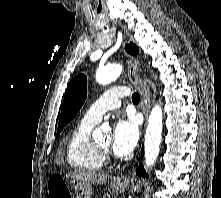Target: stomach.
Returning <instances> with one entry per match:
<instances>
[{
	"label": "stomach",
	"instance_id": "obj_1",
	"mask_svg": "<svg viewBox=\"0 0 221 198\" xmlns=\"http://www.w3.org/2000/svg\"><path fill=\"white\" fill-rule=\"evenodd\" d=\"M128 186V181H122L118 183H111L110 187L112 191L116 194L123 193ZM75 198H91L92 195V185L85 183L83 181H78L74 185Z\"/></svg>",
	"mask_w": 221,
	"mask_h": 198
}]
</instances>
